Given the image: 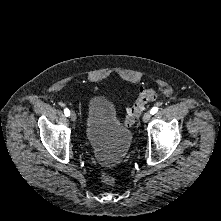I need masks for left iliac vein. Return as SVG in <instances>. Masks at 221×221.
Listing matches in <instances>:
<instances>
[{"label":"left iliac vein","instance_id":"obj_1","mask_svg":"<svg viewBox=\"0 0 221 221\" xmlns=\"http://www.w3.org/2000/svg\"><path fill=\"white\" fill-rule=\"evenodd\" d=\"M150 118H151V112L145 113V114L143 115V117H142L143 123H148L149 120H150Z\"/></svg>","mask_w":221,"mask_h":221}]
</instances>
